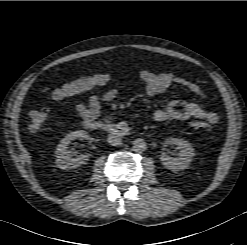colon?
Listing matches in <instances>:
<instances>
[{
    "label": "colon",
    "mask_w": 247,
    "mask_h": 245,
    "mask_svg": "<svg viewBox=\"0 0 247 245\" xmlns=\"http://www.w3.org/2000/svg\"><path fill=\"white\" fill-rule=\"evenodd\" d=\"M113 81V76L109 72L99 71L90 75L80 77L71 82L65 83L52 92V98L55 100H63L71 98L94 89L104 88ZM31 131L40 130L48 119V112L46 109L32 110L29 113ZM194 128L209 130L213 127L212 124L202 121L194 120L191 122Z\"/></svg>",
    "instance_id": "colon-1"
}]
</instances>
